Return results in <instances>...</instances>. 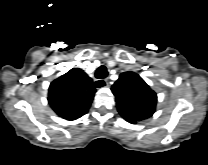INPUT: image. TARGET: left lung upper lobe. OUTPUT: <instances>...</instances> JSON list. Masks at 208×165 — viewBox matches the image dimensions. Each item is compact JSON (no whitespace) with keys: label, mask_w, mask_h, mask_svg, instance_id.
Returning <instances> with one entry per match:
<instances>
[{"label":"left lung upper lobe","mask_w":208,"mask_h":165,"mask_svg":"<svg viewBox=\"0 0 208 165\" xmlns=\"http://www.w3.org/2000/svg\"><path fill=\"white\" fill-rule=\"evenodd\" d=\"M111 90L118 112L127 122L135 124L154 114L157 95L138 74L122 73Z\"/></svg>","instance_id":"left-lung-upper-lobe-1"}]
</instances>
